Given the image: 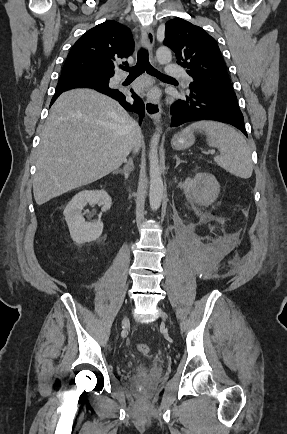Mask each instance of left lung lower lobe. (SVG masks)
Here are the masks:
<instances>
[{"label":"left lung lower lobe","instance_id":"obj_1","mask_svg":"<svg viewBox=\"0 0 287 434\" xmlns=\"http://www.w3.org/2000/svg\"><path fill=\"white\" fill-rule=\"evenodd\" d=\"M170 114L171 127L189 121L216 120L235 126L247 136L236 95L191 87L185 101L177 100L172 104Z\"/></svg>","mask_w":287,"mask_h":434}]
</instances>
